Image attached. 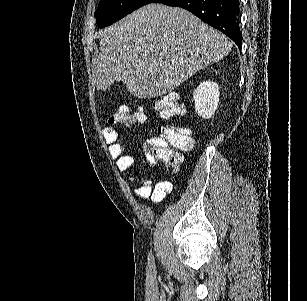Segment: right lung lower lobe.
Listing matches in <instances>:
<instances>
[{
  "instance_id": "obj_1",
  "label": "right lung lower lobe",
  "mask_w": 307,
  "mask_h": 301,
  "mask_svg": "<svg viewBox=\"0 0 307 301\" xmlns=\"http://www.w3.org/2000/svg\"><path fill=\"white\" fill-rule=\"evenodd\" d=\"M151 3L181 7L192 12L205 23L222 31L241 50L239 0H153Z\"/></svg>"
}]
</instances>
